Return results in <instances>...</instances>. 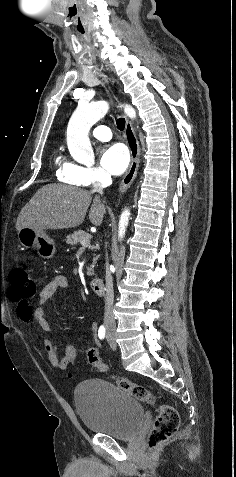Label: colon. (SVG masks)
<instances>
[{"mask_svg": "<svg viewBox=\"0 0 236 477\" xmlns=\"http://www.w3.org/2000/svg\"><path fill=\"white\" fill-rule=\"evenodd\" d=\"M10 299L18 302V313L23 314L31 309L29 300L36 292V283L30 277L29 271L25 266H16L10 272ZM86 360L100 371L108 369L107 364L93 350L88 349L84 353ZM116 384L119 388L127 391L135 398L152 403L154 397L150 391L143 386L135 384L124 378H117ZM179 416L176 410L168 405L159 408L157 419L149 436V446L157 447L170 439L178 430Z\"/></svg>", "mask_w": 236, "mask_h": 477, "instance_id": "5ec220e1", "label": "colon"}]
</instances>
